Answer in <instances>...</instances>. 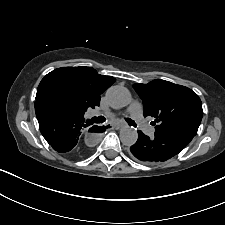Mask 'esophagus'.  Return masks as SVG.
<instances>
[{
	"label": "esophagus",
	"instance_id": "esophagus-1",
	"mask_svg": "<svg viewBox=\"0 0 225 225\" xmlns=\"http://www.w3.org/2000/svg\"><path fill=\"white\" fill-rule=\"evenodd\" d=\"M113 128H116V129H120L122 128L124 125L123 124H113L111 125Z\"/></svg>",
	"mask_w": 225,
	"mask_h": 225
}]
</instances>
